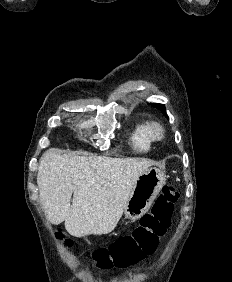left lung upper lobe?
I'll return each instance as SVG.
<instances>
[{"instance_id":"1","label":"left lung upper lobe","mask_w":232,"mask_h":282,"mask_svg":"<svg viewBox=\"0 0 232 282\" xmlns=\"http://www.w3.org/2000/svg\"><path fill=\"white\" fill-rule=\"evenodd\" d=\"M153 107L159 109L162 111V113L167 117L166 115V109H165V106L163 104H157V103H153L152 104Z\"/></svg>"}]
</instances>
